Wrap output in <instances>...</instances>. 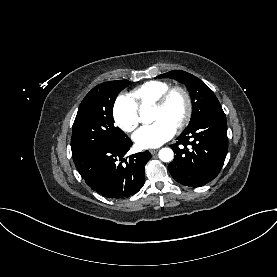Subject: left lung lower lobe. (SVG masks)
Listing matches in <instances>:
<instances>
[{"label": "left lung lower lobe", "instance_id": "obj_1", "mask_svg": "<svg viewBox=\"0 0 277 277\" xmlns=\"http://www.w3.org/2000/svg\"><path fill=\"white\" fill-rule=\"evenodd\" d=\"M171 145L176 153L168 169L179 183L201 187L220 172L228 151L227 123L222 107L201 117Z\"/></svg>", "mask_w": 277, "mask_h": 277}]
</instances>
